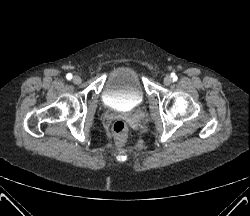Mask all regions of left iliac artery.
<instances>
[{"mask_svg":"<svg viewBox=\"0 0 250 216\" xmlns=\"http://www.w3.org/2000/svg\"><path fill=\"white\" fill-rule=\"evenodd\" d=\"M171 76L173 77L174 80L177 79V76L174 73Z\"/></svg>","mask_w":250,"mask_h":216,"instance_id":"obj_1","label":"left iliac artery"}]
</instances>
